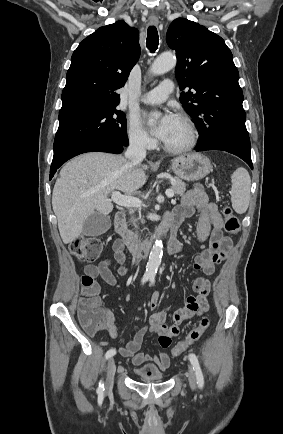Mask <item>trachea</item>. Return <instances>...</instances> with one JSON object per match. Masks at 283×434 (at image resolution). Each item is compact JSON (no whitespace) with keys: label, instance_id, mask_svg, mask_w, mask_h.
<instances>
[{"label":"trachea","instance_id":"3493384b","mask_svg":"<svg viewBox=\"0 0 283 434\" xmlns=\"http://www.w3.org/2000/svg\"><path fill=\"white\" fill-rule=\"evenodd\" d=\"M147 48L150 50V52H155L159 45V36L158 32L155 26L148 27L147 30V42H146Z\"/></svg>","mask_w":283,"mask_h":434}]
</instances>
